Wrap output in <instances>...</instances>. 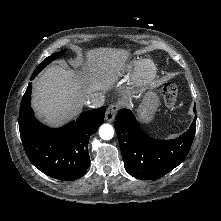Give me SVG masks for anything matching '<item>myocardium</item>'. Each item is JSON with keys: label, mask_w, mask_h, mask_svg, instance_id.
I'll return each mask as SVG.
<instances>
[{"label": "myocardium", "mask_w": 221, "mask_h": 221, "mask_svg": "<svg viewBox=\"0 0 221 221\" xmlns=\"http://www.w3.org/2000/svg\"><path fill=\"white\" fill-rule=\"evenodd\" d=\"M157 74L156 64L150 59L142 60L135 72V81L138 85L151 83Z\"/></svg>", "instance_id": "myocardium-1"}]
</instances>
